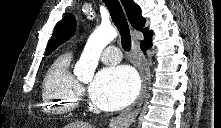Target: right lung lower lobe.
Returning <instances> with one entry per match:
<instances>
[{"label":"right lung lower lobe","mask_w":221,"mask_h":128,"mask_svg":"<svg viewBox=\"0 0 221 128\" xmlns=\"http://www.w3.org/2000/svg\"><path fill=\"white\" fill-rule=\"evenodd\" d=\"M151 46V39L148 41L142 42L141 48L145 52L147 48H150Z\"/></svg>","instance_id":"obj_1"}]
</instances>
